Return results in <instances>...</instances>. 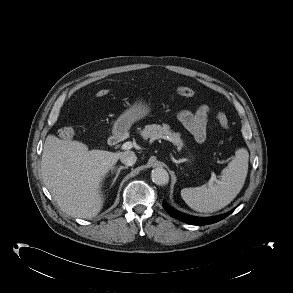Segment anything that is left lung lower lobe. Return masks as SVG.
<instances>
[{
    "label": "left lung lower lobe",
    "instance_id": "obj_1",
    "mask_svg": "<svg viewBox=\"0 0 293 293\" xmlns=\"http://www.w3.org/2000/svg\"><path fill=\"white\" fill-rule=\"evenodd\" d=\"M163 207L171 216L181 220L182 222L192 224V225L212 224V223H215V222H218V221L224 219L225 217H227L229 214H231L234 211V209H233L230 212H228L226 214H223V215H219V216H215V217H209V218H199V217H193V216H190V215L180 213V212L176 211L175 209H173L172 207H170L165 202L163 203Z\"/></svg>",
    "mask_w": 293,
    "mask_h": 293
}]
</instances>
